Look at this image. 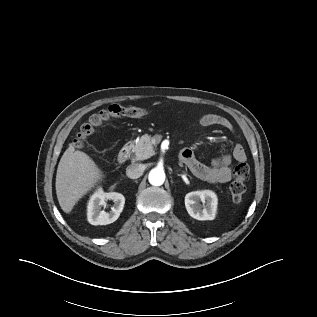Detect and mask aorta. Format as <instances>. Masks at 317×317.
<instances>
[{"instance_id": "1", "label": "aorta", "mask_w": 317, "mask_h": 317, "mask_svg": "<svg viewBox=\"0 0 317 317\" xmlns=\"http://www.w3.org/2000/svg\"><path fill=\"white\" fill-rule=\"evenodd\" d=\"M149 183L153 186H161L165 181V172L163 169L155 167L148 175Z\"/></svg>"}]
</instances>
